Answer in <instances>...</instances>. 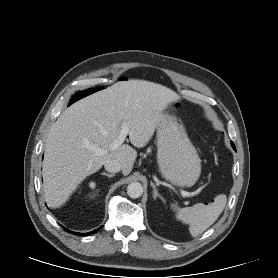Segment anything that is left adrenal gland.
Listing matches in <instances>:
<instances>
[{"label": "left adrenal gland", "mask_w": 278, "mask_h": 278, "mask_svg": "<svg viewBox=\"0 0 278 278\" xmlns=\"http://www.w3.org/2000/svg\"><path fill=\"white\" fill-rule=\"evenodd\" d=\"M151 186L153 188V198L156 200V198H160L164 202V198L158 193L157 188L153 182H151Z\"/></svg>", "instance_id": "obj_1"}]
</instances>
